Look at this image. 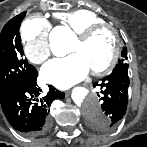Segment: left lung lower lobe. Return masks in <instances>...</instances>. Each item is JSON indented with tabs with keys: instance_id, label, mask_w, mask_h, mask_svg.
<instances>
[{
	"instance_id": "1",
	"label": "left lung lower lobe",
	"mask_w": 147,
	"mask_h": 147,
	"mask_svg": "<svg viewBox=\"0 0 147 147\" xmlns=\"http://www.w3.org/2000/svg\"><path fill=\"white\" fill-rule=\"evenodd\" d=\"M100 86L103 94L101 97L102 110L106 115L105 119L94 118L88 120L90 125L101 131L114 129L125 115L128 103L129 76L128 67H121L114 70L109 76L103 78L100 83L93 84ZM99 96V95H98Z\"/></svg>"
}]
</instances>
